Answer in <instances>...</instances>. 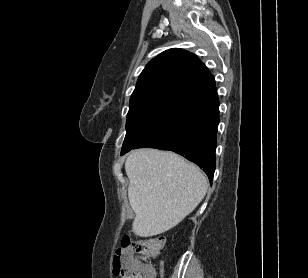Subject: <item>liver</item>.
<instances>
[{"instance_id": "obj_1", "label": "liver", "mask_w": 308, "mask_h": 278, "mask_svg": "<svg viewBox=\"0 0 308 278\" xmlns=\"http://www.w3.org/2000/svg\"><path fill=\"white\" fill-rule=\"evenodd\" d=\"M132 232L161 234L178 225L205 197L208 182L199 167L171 151L138 149L125 162Z\"/></svg>"}]
</instances>
